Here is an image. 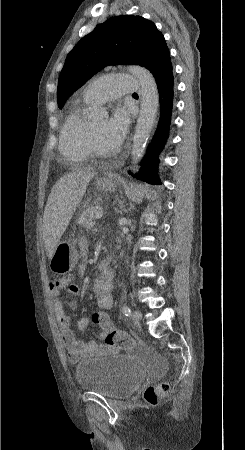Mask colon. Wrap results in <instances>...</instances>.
<instances>
[{"label": "colon", "instance_id": "colon-1", "mask_svg": "<svg viewBox=\"0 0 245 450\" xmlns=\"http://www.w3.org/2000/svg\"><path fill=\"white\" fill-rule=\"evenodd\" d=\"M63 278H54L51 283L58 286ZM92 322L103 330L104 342L115 345L123 349H130L134 346L132 338L125 332L117 329L103 312H95L92 316ZM89 324L87 318L78 322L79 328H85ZM169 384L162 382L156 386H148L144 389L143 397L149 404H157L159 399L169 391Z\"/></svg>", "mask_w": 245, "mask_h": 450}]
</instances>
